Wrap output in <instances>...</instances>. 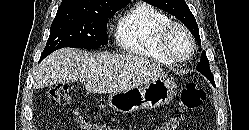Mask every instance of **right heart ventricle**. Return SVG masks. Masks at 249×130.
Wrapping results in <instances>:
<instances>
[{"instance_id": "right-heart-ventricle-1", "label": "right heart ventricle", "mask_w": 249, "mask_h": 130, "mask_svg": "<svg viewBox=\"0 0 249 130\" xmlns=\"http://www.w3.org/2000/svg\"><path fill=\"white\" fill-rule=\"evenodd\" d=\"M170 22V18L161 10L138 2L119 18L114 33L115 42L129 54L170 65L172 61L159 47L160 32Z\"/></svg>"}]
</instances>
